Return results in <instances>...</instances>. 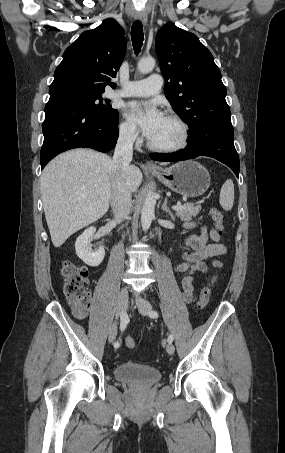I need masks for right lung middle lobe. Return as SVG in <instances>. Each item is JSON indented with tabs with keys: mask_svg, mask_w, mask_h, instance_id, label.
I'll return each instance as SVG.
<instances>
[{
	"mask_svg": "<svg viewBox=\"0 0 285 453\" xmlns=\"http://www.w3.org/2000/svg\"><path fill=\"white\" fill-rule=\"evenodd\" d=\"M65 96L76 100L98 118L113 119L118 116V111L110 106L108 100L103 103L102 94L100 93L69 92Z\"/></svg>",
	"mask_w": 285,
	"mask_h": 453,
	"instance_id": "dd1d6c3e",
	"label": "right lung middle lobe"
}]
</instances>
